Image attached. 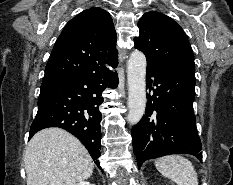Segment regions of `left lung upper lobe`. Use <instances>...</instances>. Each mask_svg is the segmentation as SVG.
Listing matches in <instances>:
<instances>
[{
	"label": "left lung upper lobe",
	"instance_id": "left-lung-upper-lobe-1",
	"mask_svg": "<svg viewBox=\"0 0 233 185\" xmlns=\"http://www.w3.org/2000/svg\"><path fill=\"white\" fill-rule=\"evenodd\" d=\"M140 35L134 38L135 48L147 59V66L195 76L194 56L183 29L170 17L148 12L139 22Z\"/></svg>",
	"mask_w": 233,
	"mask_h": 185
}]
</instances>
